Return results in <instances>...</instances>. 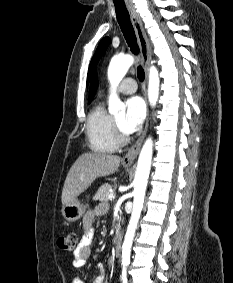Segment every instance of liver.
Instances as JSON below:
<instances>
[{
  "label": "liver",
  "mask_w": 233,
  "mask_h": 283,
  "mask_svg": "<svg viewBox=\"0 0 233 283\" xmlns=\"http://www.w3.org/2000/svg\"><path fill=\"white\" fill-rule=\"evenodd\" d=\"M117 155L87 152L71 166L62 190V205L71 203L99 177L113 174L120 165Z\"/></svg>",
  "instance_id": "6515ba94"
}]
</instances>
